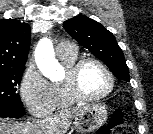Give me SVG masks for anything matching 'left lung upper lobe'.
<instances>
[{
	"instance_id": "5c2ea615",
	"label": "left lung upper lobe",
	"mask_w": 153,
	"mask_h": 134,
	"mask_svg": "<svg viewBox=\"0 0 153 134\" xmlns=\"http://www.w3.org/2000/svg\"><path fill=\"white\" fill-rule=\"evenodd\" d=\"M67 33L102 60L119 80L129 82V70L114 35L100 23L79 15L63 24Z\"/></svg>"
}]
</instances>
